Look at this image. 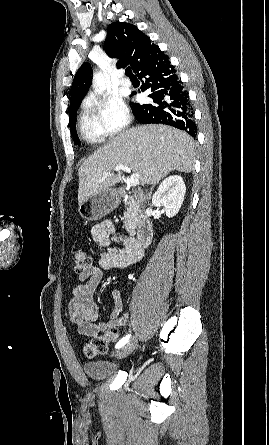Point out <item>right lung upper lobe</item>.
Returning a JSON list of instances; mask_svg holds the SVG:
<instances>
[{"mask_svg": "<svg viewBox=\"0 0 269 445\" xmlns=\"http://www.w3.org/2000/svg\"><path fill=\"white\" fill-rule=\"evenodd\" d=\"M105 51L112 58H118L117 67L130 65L138 73L145 65L163 55L158 46L152 44L149 37L135 25L114 22L108 26ZM92 69L84 63L77 71L71 87V104H80L90 87Z\"/></svg>", "mask_w": 269, "mask_h": 445, "instance_id": "1", "label": "right lung upper lobe"}]
</instances>
